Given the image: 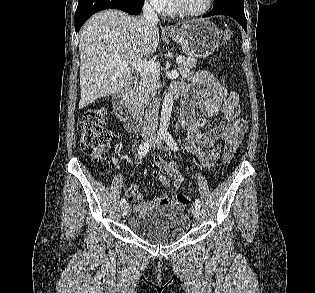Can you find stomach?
<instances>
[{
    "instance_id": "stomach-1",
    "label": "stomach",
    "mask_w": 315,
    "mask_h": 293,
    "mask_svg": "<svg viewBox=\"0 0 315 293\" xmlns=\"http://www.w3.org/2000/svg\"><path fill=\"white\" fill-rule=\"evenodd\" d=\"M182 50L194 58H206L220 43L217 26L208 20H192L168 34Z\"/></svg>"
}]
</instances>
